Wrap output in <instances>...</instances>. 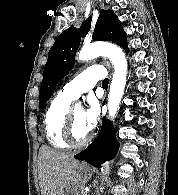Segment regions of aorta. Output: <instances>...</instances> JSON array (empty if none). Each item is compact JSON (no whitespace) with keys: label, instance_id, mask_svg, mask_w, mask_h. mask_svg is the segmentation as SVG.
<instances>
[{"label":"aorta","instance_id":"762f6f07","mask_svg":"<svg viewBox=\"0 0 178 195\" xmlns=\"http://www.w3.org/2000/svg\"><path fill=\"white\" fill-rule=\"evenodd\" d=\"M101 55L108 57L114 66V74L108 95L109 118L113 119L119 110L120 102L124 94L127 77V61L121 48L106 42H94L85 45L78 53V59L80 61H88ZM105 170H108L107 165L105 166Z\"/></svg>","mask_w":178,"mask_h":195}]
</instances>
